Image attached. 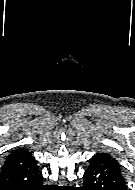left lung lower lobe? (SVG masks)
Wrapping results in <instances>:
<instances>
[{"instance_id": "left-lung-lower-lobe-1", "label": "left lung lower lobe", "mask_w": 135, "mask_h": 190, "mask_svg": "<svg viewBox=\"0 0 135 190\" xmlns=\"http://www.w3.org/2000/svg\"><path fill=\"white\" fill-rule=\"evenodd\" d=\"M83 190H127L119 163L106 154H96L84 173Z\"/></svg>"}]
</instances>
